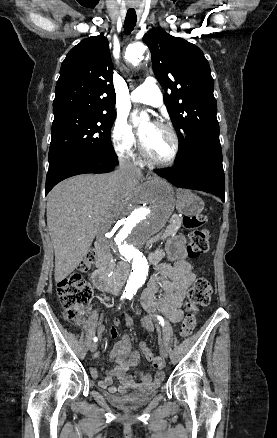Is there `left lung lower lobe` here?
Masks as SVG:
<instances>
[{"instance_id": "1", "label": "left lung lower lobe", "mask_w": 277, "mask_h": 438, "mask_svg": "<svg viewBox=\"0 0 277 438\" xmlns=\"http://www.w3.org/2000/svg\"><path fill=\"white\" fill-rule=\"evenodd\" d=\"M156 173L174 186L212 193L224 201L225 177L221 149L206 151L185 165L157 169Z\"/></svg>"}]
</instances>
